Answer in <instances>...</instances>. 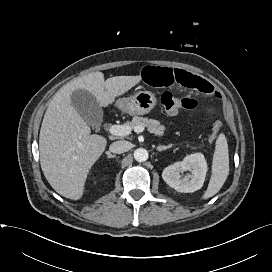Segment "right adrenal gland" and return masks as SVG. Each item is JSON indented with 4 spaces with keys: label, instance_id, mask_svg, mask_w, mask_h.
Masks as SVG:
<instances>
[{
    "label": "right adrenal gland",
    "instance_id": "2a0ac1e0",
    "mask_svg": "<svg viewBox=\"0 0 272 272\" xmlns=\"http://www.w3.org/2000/svg\"><path fill=\"white\" fill-rule=\"evenodd\" d=\"M106 155H107L108 158H115L116 157L110 151H106Z\"/></svg>",
    "mask_w": 272,
    "mask_h": 272
}]
</instances>
